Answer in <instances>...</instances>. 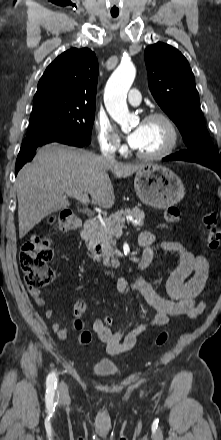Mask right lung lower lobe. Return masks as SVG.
<instances>
[{
    "instance_id": "1",
    "label": "right lung lower lobe",
    "mask_w": 221,
    "mask_h": 440,
    "mask_svg": "<svg viewBox=\"0 0 221 440\" xmlns=\"http://www.w3.org/2000/svg\"><path fill=\"white\" fill-rule=\"evenodd\" d=\"M51 142H59L77 147H84L88 145L84 142L66 136L42 134L26 137L22 142L21 149L16 160L15 175H17L18 171L24 164L33 159L35 155L34 151L37 147Z\"/></svg>"
}]
</instances>
